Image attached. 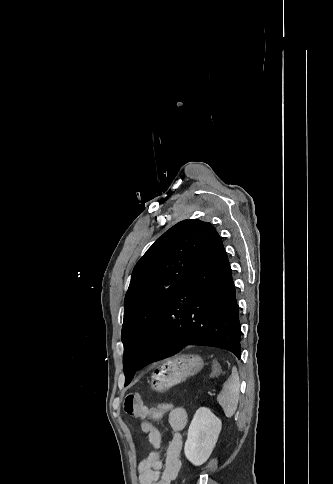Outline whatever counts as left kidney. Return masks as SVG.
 Returning <instances> with one entry per match:
<instances>
[{"mask_svg":"<svg viewBox=\"0 0 333 484\" xmlns=\"http://www.w3.org/2000/svg\"><path fill=\"white\" fill-rule=\"evenodd\" d=\"M221 429V420L210 409L201 407L196 411L184 447L185 456L193 465L199 466L208 460Z\"/></svg>","mask_w":333,"mask_h":484,"instance_id":"5707ae66","label":"left kidney"}]
</instances>
